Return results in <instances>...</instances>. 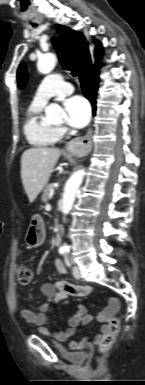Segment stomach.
<instances>
[{
  "mask_svg": "<svg viewBox=\"0 0 145 385\" xmlns=\"http://www.w3.org/2000/svg\"><path fill=\"white\" fill-rule=\"evenodd\" d=\"M45 236L43 220L38 216H34L25 235L26 244L31 248L38 247L43 244Z\"/></svg>",
  "mask_w": 145,
  "mask_h": 385,
  "instance_id": "stomach-1",
  "label": "stomach"
}]
</instances>
